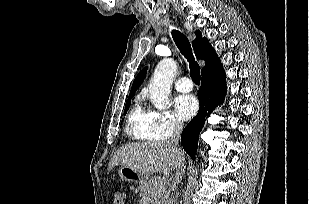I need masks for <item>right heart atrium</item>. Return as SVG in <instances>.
<instances>
[{
    "mask_svg": "<svg viewBox=\"0 0 309 204\" xmlns=\"http://www.w3.org/2000/svg\"><path fill=\"white\" fill-rule=\"evenodd\" d=\"M182 121L169 110H151L148 135L150 139L164 140L180 133Z\"/></svg>",
    "mask_w": 309,
    "mask_h": 204,
    "instance_id": "d8ad5b80",
    "label": "right heart atrium"
}]
</instances>
